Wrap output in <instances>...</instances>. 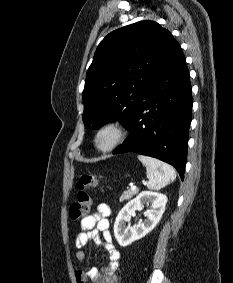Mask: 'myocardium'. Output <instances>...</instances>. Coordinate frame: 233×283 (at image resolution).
<instances>
[{"mask_svg": "<svg viewBox=\"0 0 233 283\" xmlns=\"http://www.w3.org/2000/svg\"><path fill=\"white\" fill-rule=\"evenodd\" d=\"M105 133H110L112 135V139L109 144L102 146L99 143V139ZM127 134L128 129L123 122L119 120L107 121L95 131L93 144L99 152L109 153L118 148L124 142Z\"/></svg>", "mask_w": 233, "mask_h": 283, "instance_id": "myocardium-1", "label": "myocardium"}]
</instances>
